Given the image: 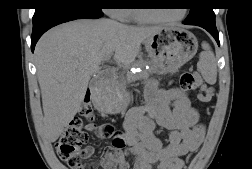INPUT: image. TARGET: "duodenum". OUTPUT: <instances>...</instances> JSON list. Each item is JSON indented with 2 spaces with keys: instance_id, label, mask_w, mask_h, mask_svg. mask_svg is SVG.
<instances>
[{
  "instance_id": "duodenum-1",
  "label": "duodenum",
  "mask_w": 252,
  "mask_h": 169,
  "mask_svg": "<svg viewBox=\"0 0 252 169\" xmlns=\"http://www.w3.org/2000/svg\"><path fill=\"white\" fill-rule=\"evenodd\" d=\"M110 78V74L109 73H103L102 75H100L98 77V79H108Z\"/></svg>"
}]
</instances>
